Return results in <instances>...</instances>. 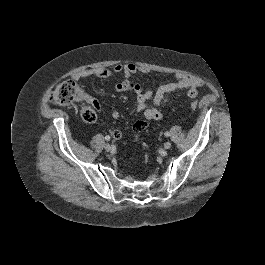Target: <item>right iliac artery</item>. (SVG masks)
Wrapping results in <instances>:
<instances>
[{
  "label": "right iliac artery",
  "mask_w": 265,
  "mask_h": 265,
  "mask_svg": "<svg viewBox=\"0 0 265 265\" xmlns=\"http://www.w3.org/2000/svg\"><path fill=\"white\" fill-rule=\"evenodd\" d=\"M105 140L109 141L110 140V136L109 135L105 136Z\"/></svg>",
  "instance_id": "obj_1"
}]
</instances>
